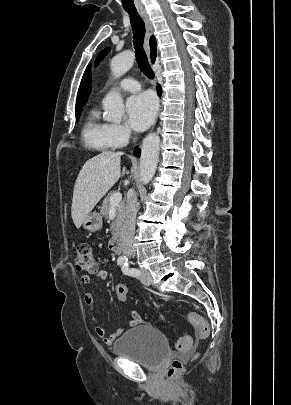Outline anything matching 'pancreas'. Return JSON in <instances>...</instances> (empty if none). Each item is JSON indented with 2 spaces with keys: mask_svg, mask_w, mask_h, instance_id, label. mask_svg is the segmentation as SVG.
I'll list each match as a JSON object with an SVG mask.
<instances>
[{
  "mask_svg": "<svg viewBox=\"0 0 291 405\" xmlns=\"http://www.w3.org/2000/svg\"><path fill=\"white\" fill-rule=\"evenodd\" d=\"M113 194H114V192H110L104 198L102 208L100 211L101 215L106 219L109 218V211L111 209L110 198ZM124 218H125V204H124V201H120L116 205L115 219L112 221L111 227H110V231H111L112 235L116 236L119 234V232L121 231V228H122V224L124 222Z\"/></svg>",
  "mask_w": 291,
  "mask_h": 405,
  "instance_id": "1",
  "label": "pancreas"
}]
</instances>
